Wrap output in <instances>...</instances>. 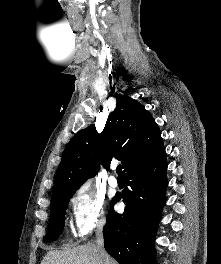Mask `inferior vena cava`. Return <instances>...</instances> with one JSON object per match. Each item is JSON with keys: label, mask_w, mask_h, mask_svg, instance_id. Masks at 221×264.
Wrapping results in <instances>:
<instances>
[{"label": "inferior vena cava", "mask_w": 221, "mask_h": 264, "mask_svg": "<svg viewBox=\"0 0 221 264\" xmlns=\"http://www.w3.org/2000/svg\"><path fill=\"white\" fill-rule=\"evenodd\" d=\"M102 223L100 224V227H102ZM103 236L102 234L100 233V231L97 233V240H96V243H97V251H98V254H99V257L103 259L104 263L105 264H108V260H107V255H106V252H105V249H104V246H103Z\"/></svg>", "instance_id": "inferior-vena-cava-1"}]
</instances>
